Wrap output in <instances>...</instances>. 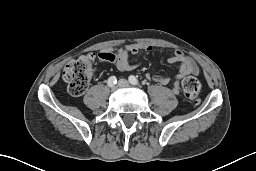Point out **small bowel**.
Here are the masks:
<instances>
[{
    "mask_svg": "<svg viewBox=\"0 0 256 171\" xmlns=\"http://www.w3.org/2000/svg\"><path fill=\"white\" fill-rule=\"evenodd\" d=\"M141 51L151 53L154 51L152 46L133 43L125 45L119 49L107 48L100 54L105 61L113 63L121 72H129L136 69L140 65V61L131 62L128 59L129 54H138ZM170 64L178 65V71L173 78L171 92L178 94L180 92V82L188 74H198L199 68L191 57L180 50H174L172 56L168 58ZM148 77L160 85H167L171 78L161 74H149Z\"/></svg>",
    "mask_w": 256,
    "mask_h": 171,
    "instance_id": "obj_1",
    "label": "small bowel"
}]
</instances>
